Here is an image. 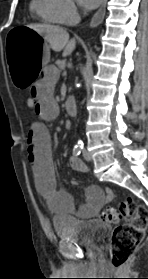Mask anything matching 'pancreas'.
<instances>
[{
	"instance_id": "cf45deb5",
	"label": "pancreas",
	"mask_w": 148,
	"mask_h": 279,
	"mask_svg": "<svg viewBox=\"0 0 148 279\" xmlns=\"http://www.w3.org/2000/svg\"><path fill=\"white\" fill-rule=\"evenodd\" d=\"M56 64L60 69H64V67H65V61H63V60H58L56 62Z\"/></svg>"
}]
</instances>
